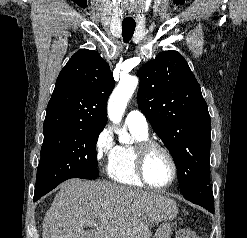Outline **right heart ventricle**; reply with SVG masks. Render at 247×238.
Returning a JSON list of instances; mask_svg holds the SVG:
<instances>
[{"label":"right heart ventricle","instance_id":"1","mask_svg":"<svg viewBox=\"0 0 247 238\" xmlns=\"http://www.w3.org/2000/svg\"><path fill=\"white\" fill-rule=\"evenodd\" d=\"M129 130L134 143L116 146L108 160L106 171L109 178L118 184L143 187L144 183L139 178L135 167L136 147L139 142L148 139V133L131 127Z\"/></svg>","mask_w":247,"mask_h":238}]
</instances>
